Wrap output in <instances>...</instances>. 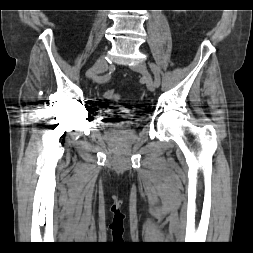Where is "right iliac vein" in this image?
Masks as SVG:
<instances>
[{
    "mask_svg": "<svg viewBox=\"0 0 253 253\" xmlns=\"http://www.w3.org/2000/svg\"><path fill=\"white\" fill-rule=\"evenodd\" d=\"M107 70L105 54H102L96 60L94 66L87 72V76L94 78L97 74H102Z\"/></svg>",
    "mask_w": 253,
    "mask_h": 253,
    "instance_id": "obj_1",
    "label": "right iliac vein"
}]
</instances>
